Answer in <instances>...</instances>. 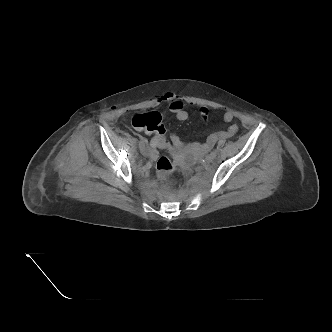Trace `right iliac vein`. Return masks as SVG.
<instances>
[{
	"mask_svg": "<svg viewBox=\"0 0 332 332\" xmlns=\"http://www.w3.org/2000/svg\"><path fill=\"white\" fill-rule=\"evenodd\" d=\"M139 150H140L141 152H144V151H145V144H144V143L139 142Z\"/></svg>",
	"mask_w": 332,
	"mask_h": 332,
	"instance_id": "right-iliac-vein-1",
	"label": "right iliac vein"
}]
</instances>
